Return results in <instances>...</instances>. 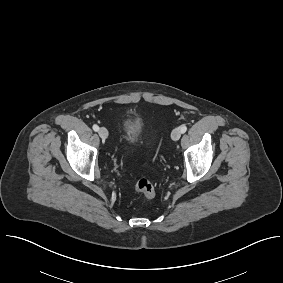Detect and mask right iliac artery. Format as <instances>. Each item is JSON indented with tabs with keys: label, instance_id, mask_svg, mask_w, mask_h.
<instances>
[{
	"label": "right iliac artery",
	"instance_id": "right-iliac-artery-1",
	"mask_svg": "<svg viewBox=\"0 0 283 283\" xmlns=\"http://www.w3.org/2000/svg\"><path fill=\"white\" fill-rule=\"evenodd\" d=\"M93 130H94V131H98V130H99V126H98V125H96V124H95V125H93Z\"/></svg>",
	"mask_w": 283,
	"mask_h": 283
}]
</instances>
